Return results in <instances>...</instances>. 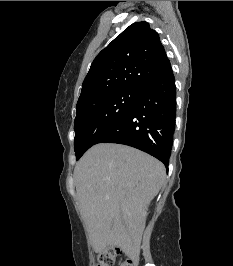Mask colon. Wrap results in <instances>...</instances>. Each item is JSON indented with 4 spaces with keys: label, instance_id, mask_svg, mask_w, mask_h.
Wrapping results in <instances>:
<instances>
[{
    "label": "colon",
    "instance_id": "obj_1",
    "mask_svg": "<svg viewBox=\"0 0 233 266\" xmlns=\"http://www.w3.org/2000/svg\"><path fill=\"white\" fill-rule=\"evenodd\" d=\"M120 255L119 249L108 250L98 257L99 266H115V259ZM136 257L129 256L127 257L120 266H136Z\"/></svg>",
    "mask_w": 233,
    "mask_h": 266
}]
</instances>
